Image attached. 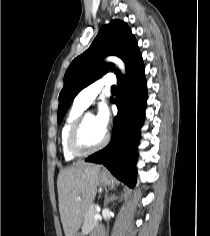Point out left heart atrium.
Here are the masks:
<instances>
[{
	"instance_id": "obj_1",
	"label": "left heart atrium",
	"mask_w": 210,
	"mask_h": 236,
	"mask_svg": "<svg viewBox=\"0 0 210 236\" xmlns=\"http://www.w3.org/2000/svg\"><path fill=\"white\" fill-rule=\"evenodd\" d=\"M94 121L101 130L106 132L110 123V113L108 107L105 104L99 106L98 112L94 116Z\"/></svg>"
}]
</instances>
